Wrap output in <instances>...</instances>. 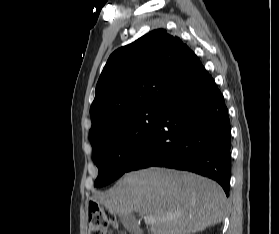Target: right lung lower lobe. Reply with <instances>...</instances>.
<instances>
[{
    "instance_id": "obj_1",
    "label": "right lung lower lobe",
    "mask_w": 279,
    "mask_h": 234,
    "mask_svg": "<svg viewBox=\"0 0 279 234\" xmlns=\"http://www.w3.org/2000/svg\"><path fill=\"white\" fill-rule=\"evenodd\" d=\"M230 122L223 95L202 67L163 107L128 171L150 166L188 170L216 180L229 195Z\"/></svg>"
}]
</instances>
